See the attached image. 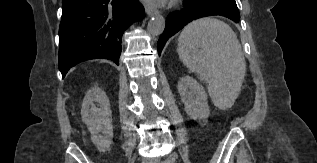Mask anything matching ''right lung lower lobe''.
Masks as SVG:
<instances>
[{
    "label": "right lung lower lobe",
    "instance_id": "right-lung-lower-lobe-1",
    "mask_svg": "<svg viewBox=\"0 0 317 163\" xmlns=\"http://www.w3.org/2000/svg\"><path fill=\"white\" fill-rule=\"evenodd\" d=\"M137 0H63L59 28V70L96 58L119 64L122 35L144 17Z\"/></svg>",
    "mask_w": 317,
    "mask_h": 163
}]
</instances>
